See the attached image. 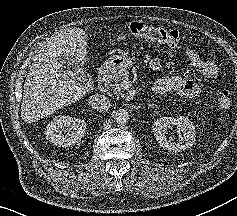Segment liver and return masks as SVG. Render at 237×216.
Listing matches in <instances>:
<instances>
[{
	"label": "liver",
	"instance_id": "obj_1",
	"mask_svg": "<svg viewBox=\"0 0 237 216\" xmlns=\"http://www.w3.org/2000/svg\"><path fill=\"white\" fill-rule=\"evenodd\" d=\"M89 37L81 27H71L45 42L39 62L27 74L22 117L34 124L75 105L93 89L82 82L88 67Z\"/></svg>",
	"mask_w": 237,
	"mask_h": 216
}]
</instances>
